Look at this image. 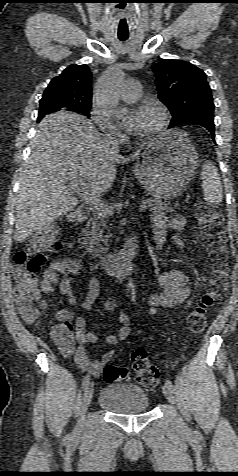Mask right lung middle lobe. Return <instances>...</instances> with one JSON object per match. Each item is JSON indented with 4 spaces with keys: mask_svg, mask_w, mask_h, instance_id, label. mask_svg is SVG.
<instances>
[{
    "mask_svg": "<svg viewBox=\"0 0 238 476\" xmlns=\"http://www.w3.org/2000/svg\"><path fill=\"white\" fill-rule=\"evenodd\" d=\"M60 110H62V109L54 103L40 102L38 119H41L46 114H50L52 112H57V111H60ZM89 110H90V108H86V109L81 110L78 113H81V114L89 117L90 116ZM62 111H64V110H62Z\"/></svg>",
    "mask_w": 238,
    "mask_h": 476,
    "instance_id": "obj_1",
    "label": "right lung middle lobe"
}]
</instances>
